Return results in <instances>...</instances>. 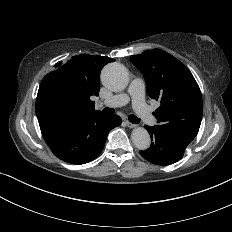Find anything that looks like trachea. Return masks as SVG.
<instances>
[{
    "instance_id": "trachea-1",
    "label": "trachea",
    "mask_w": 232,
    "mask_h": 232,
    "mask_svg": "<svg viewBox=\"0 0 232 232\" xmlns=\"http://www.w3.org/2000/svg\"><path fill=\"white\" fill-rule=\"evenodd\" d=\"M102 112H103L104 114H106V115H112V114L115 112V110L112 109V108H104V109L102 110ZM128 120H129L131 123H133V124H138V123H140V119H139L138 117H136L135 115H129V116H128Z\"/></svg>"
}]
</instances>
